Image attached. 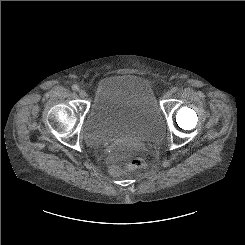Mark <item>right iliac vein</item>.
Returning <instances> with one entry per match:
<instances>
[{
	"mask_svg": "<svg viewBox=\"0 0 245 245\" xmlns=\"http://www.w3.org/2000/svg\"><path fill=\"white\" fill-rule=\"evenodd\" d=\"M78 94H79V96H80L81 98H84V97H86L87 92H86V90H84V89H80V90L78 91Z\"/></svg>",
	"mask_w": 245,
	"mask_h": 245,
	"instance_id": "63e3f726",
	"label": "right iliac vein"
}]
</instances>
